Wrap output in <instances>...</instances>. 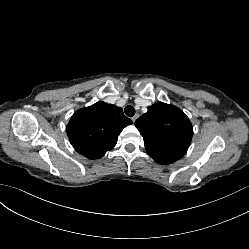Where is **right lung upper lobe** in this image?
Listing matches in <instances>:
<instances>
[{"label":"right lung upper lobe","instance_id":"1","mask_svg":"<svg viewBox=\"0 0 249 249\" xmlns=\"http://www.w3.org/2000/svg\"><path fill=\"white\" fill-rule=\"evenodd\" d=\"M132 123L122 108L97 102L77 110L66 132L78 153L89 159H98L116 145L120 132Z\"/></svg>","mask_w":249,"mask_h":249}]
</instances>
